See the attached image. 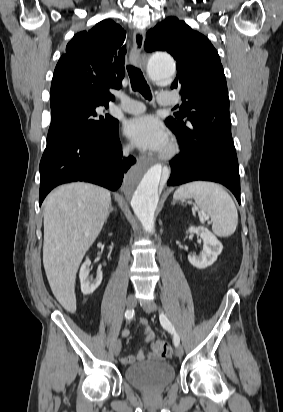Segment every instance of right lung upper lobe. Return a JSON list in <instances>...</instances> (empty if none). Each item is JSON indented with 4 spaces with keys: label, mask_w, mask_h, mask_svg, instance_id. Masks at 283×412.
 I'll return each instance as SVG.
<instances>
[{
    "label": "right lung upper lobe",
    "mask_w": 283,
    "mask_h": 412,
    "mask_svg": "<svg viewBox=\"0 0 283 412\" xmlns=\"http://www.w3.org/2000/svg\"><path fill=\"white\" fill-rule=\"evenodd\" d=\"M126 32L114 21L104 20L90 31L76 34L54 71L51 115H60L77 103L108 106L111 89H120L124 77Z\"/></svg>",
    "instance_id": "right-lung-upper-lobe-1"
}]
</instances>
